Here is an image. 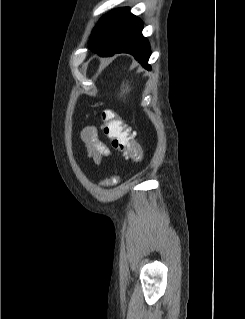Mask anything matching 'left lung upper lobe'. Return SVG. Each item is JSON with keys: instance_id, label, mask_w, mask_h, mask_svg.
<instances>
[{"instance_id": "5c2ea615", "label": "left lung upper lobe", "mask_w": 245, "mask_h": 319, "mask_svg": "<svg viewBox=\"0 0 245 319\" xmlns=\"http://www.w3.org/2000/svg\"><path fill=\"white\" fill-rule=\"evenodd\" d=\"M133 17L129 8L115 9L104 15L93 29L89 48L112 47Z\"/></svg>"}]
</instances>
